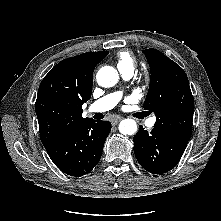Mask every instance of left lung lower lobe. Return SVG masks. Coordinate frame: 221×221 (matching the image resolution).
I'll use <instances>...</instances> for the list:
<instances>
[{
  "label": "left lung lower lobe",
  "mask_w": 221,
  "mask_h": 221,
  "mask_svg": "<svg viewBox=\"0 0 221 221\" xmlns=\"http://www.w3.org/2000/svg\"><path fill=\"white\" fill-rule=\"evenodd\" d=\"M133 140L134 153L138 162L153 174H162L173 169L189 141L173 137L156 128L148 132L141 126Z\"/></svg>",
  "instance_id": "left-lung-lower-lobe-1"
}]
</instances>
